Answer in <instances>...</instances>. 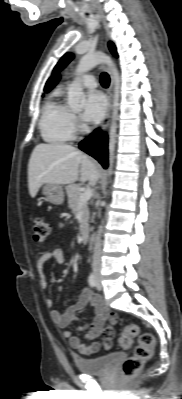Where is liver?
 Returning a JSON list of instances; mask_svg holds the SVG:
<instances>
[{
	"label": "liver",
	"mask_w": 182,
	"mask_h": 399,
	"mask_svg": "<svg viewBox=\"0 0 182 399\" xmlns=\"http://www.w3.org/2000/svg\"><path fill=\"white\" fill-rule=\"evenodd\" d=\"M80 177L95 186L100 172L94 161L77 148L66 144L36 145L28 164V186L31 197L47 183L72 184Z\"/></svg>",
	"instance_id": "1"
}]
</instances>
